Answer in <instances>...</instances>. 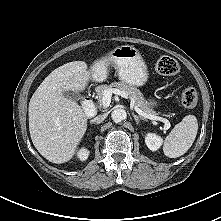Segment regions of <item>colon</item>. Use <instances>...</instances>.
Wrapping results in <instances>:
<instances>
[{
  "instance_id": "1",
  "label": "colon",
  "mask_w": 221,
  "mask_h": 221,
  "mask_svg": "<svg viewBox=\"0 0 221 221\" xmlns=\"http://www.w3.org/2000/svg\"><path fill=\"white\" fill-rule=\"evenodd\" d=\"M156 70L161 75L173 76L179 72L178 62L170 56H160L156 61ZM182 104L188 109H194L198 105V93L194 88H186L181 96Z\"/></svg>"
}]
</instances>
